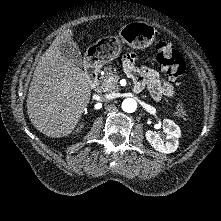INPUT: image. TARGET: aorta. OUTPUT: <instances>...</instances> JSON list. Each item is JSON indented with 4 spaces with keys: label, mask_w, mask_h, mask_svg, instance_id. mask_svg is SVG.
Wrapping results in <instances>:
<instances>
[{
    "label": "aorta",
    "mask_w": 221,
    "mask_h": 221,
    "mask_svg": "<svg viewBox=\"0 0 221 221\" xmlns=\"http://www.w3.org/2000/svg\"><path fill=\"white\" fill-rule=\"evenodd\" d=\"M121 107L124 112L133 113L137 109V102L133 98H127V99L123 100Z\"/></svg>",
    "instance_id": "1"
}]
</instances>
